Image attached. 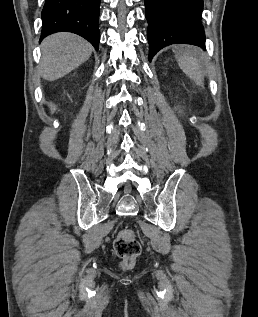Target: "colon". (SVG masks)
I'll return each instance as SVG.
<instances>
[{"label": "colon", "instance_id": "5ec220e1", "mask_svg": "<svg viewBox=\"0 0 258 317\" xmlns=\"http://www.w3.org/2000/svg\"><path fill=\"white\" fill-rule=\"evenodd\" d=\"M114 250L125 266L133 264L141 253V244L131 230L121 231L114 242Z\"/></svg>", "mask_w": 258, "mask_h": 317}]
</instances>
